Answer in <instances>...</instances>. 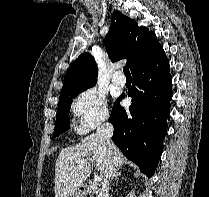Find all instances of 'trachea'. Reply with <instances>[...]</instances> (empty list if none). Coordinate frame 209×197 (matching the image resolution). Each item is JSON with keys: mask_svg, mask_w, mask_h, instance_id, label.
<instances>
[{"mask_svg": "<svg viewBox=\"0 0 209 197\" xmlns=\"http://www.w3.org/2000/svg\"><path fill=\"white\" fill-rule=\"evenodd\" d=\"M123 72H124L126 77H131V74H130L128 66H124L123 67Z\"/></svg>", "mask_w": 209, "mask_h": 197, "instance_id": "obj_1", "label": "trachea"}]
</instances>
